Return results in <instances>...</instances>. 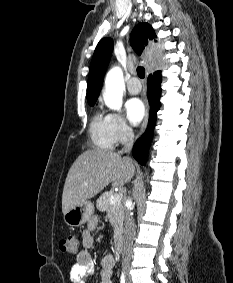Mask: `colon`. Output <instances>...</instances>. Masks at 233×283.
Wrapping results in <instances>:
<instances>
[{
	"label": "colon",
	"instance_id": "1",
	"mask_svg": "<svg viewBox=\"0 0 233 283\" xmlns=\"http://www.w3.org/2000/svg\"><path fill=\"white\" fill-rule=\"evenodd\" d=\"M59 247L70 255H77L79 253L80 240L76 235H70L60 241Z\"/></svg>",
	"mask_w": 233,
	"mask_h": 283
}]
</instances>
